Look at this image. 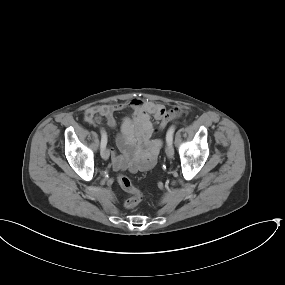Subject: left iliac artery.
Segmentation results:
<instances>
[{
  "label": "left iliac artery",
  "instance_id": "1",
  "mask_svg": "<svg viewBox=\"0 0 285 285\" xmlns=\"http://www.w3.org/2000/svg\"><path fill=\"white\" fill-rule=\"evenodd\" d=\"M175 129L176 127L174 125H172L168 131H167V134H166V141L167 143H171L172 144V141H173V134L175 132Z\"/></svg>",
  "mask_w": 285,
  "mask_h": 285
}]
</instances>
